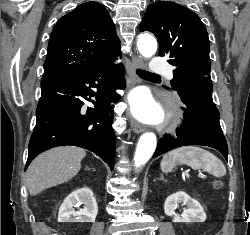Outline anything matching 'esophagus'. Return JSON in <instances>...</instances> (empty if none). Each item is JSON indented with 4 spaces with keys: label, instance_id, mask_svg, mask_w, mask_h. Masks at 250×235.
Returning <instances> with one entry per match:
<instances>
[{
    "label": "esophagus",
    "instance_id": "esophagus-1",
    "mask_svg": "<svg viewBox=\"0 0 250 235\" xmlns=\"http://www.w3.org/2000/svg\"><path fill=\"white\" fill-rule=\"evenodd\" d=\"M143 65V61L140 56H133L132 57V62L129 67V74L131 76V85L135 84L137 82V77H136V70L138 68H141ZM131 127L135 133H141L144 131V126L137 122L135 119H131Z\"/></svg>",
    "mask_w": 250,
    "mask_h": 235
}]
</instances>
